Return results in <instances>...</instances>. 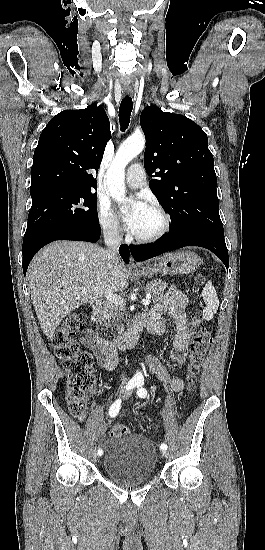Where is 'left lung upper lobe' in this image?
Segmentation results:
<instances>
[{"label":"left lung upper lobe","instance_id":"5c2ea615","mask_svg":"<svg viewBox=\"0 0 265 550\" xmlns=\"http://www.w3.org/2000/svg\"><path fill=\"white\" fill-rule=\"evenodd\" d=\"M140 124L149 187L170 214V232L202 229L224 236L206 133L191 119L155 105L142 111Z\"/></svg>","mask_w":265,"mask_h":550}]
</instances>
